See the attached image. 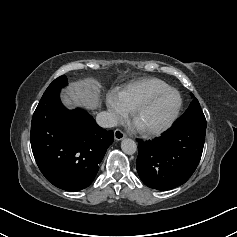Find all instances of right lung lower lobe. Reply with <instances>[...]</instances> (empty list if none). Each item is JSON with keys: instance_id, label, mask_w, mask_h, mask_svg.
<instances>
[{"instance_id": "right-lung-lower-lobe-1", "label": "right lung lower lobe", "mask_w": 237, "mask_h": 237, "mask_svg": "<svg viewBox=\"0 0 237 237\" xmlns=\"http://www.w3.org/2000/svg\"><path fill=\"white\" fill-rule=\"evenodd\" d=\"M66 84L61 76L46 89L33 114L30 141L45 178L63 190L79 191L95 178L114 134L87 112L62 105L59 93Z\"/></svg>"}]
</instances>
